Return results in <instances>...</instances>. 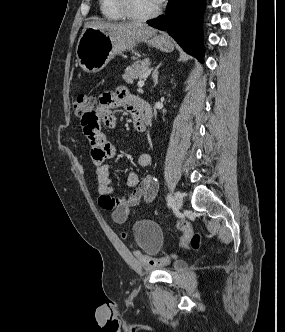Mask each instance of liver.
I'll list each match as a JSON object with an SVG mask.
<instances>
[{"label": "liver", "mask_w": 285, "mask_h": 332, "mask_svg": "<svg viewBox=\"0 0 285 332\" xmlns=\"http://www.w3.org/2000/svg\"><path fill=\"white\" fill-rule=\"evenodd\" d=\"M94 27L107 31L110 35L123 37L135 42L147 41L156 30L142 23H110L101 20L89 21L84 29Z\"/></svg>", "instance_id": "obj_1"}]
</instances>
